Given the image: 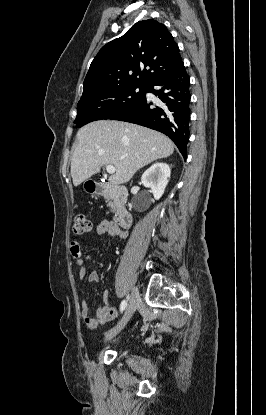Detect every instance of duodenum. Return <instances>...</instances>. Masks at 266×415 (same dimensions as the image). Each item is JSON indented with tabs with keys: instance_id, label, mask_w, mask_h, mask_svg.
Wrapping results in <instances>:
<instances>
[{
	"instance_id": "duodenum-1",
	"label": "duodenum",
	"mask_w": 266,
	"mask_h": 415,
	"mask_svg": "<svg viewBox=\"0 0 266 415\" xmlns=\"http://www.w3.org/2000/svg\"><path fill=\"white\" fill-rule=\"evenodd\" d=\"M89 191L96 195H111L116 202V211L114 216L115 223L123 229L129 228L132 223V216L126 208L128 192L126 188L105 182H91Z\"/></svg>"
}]
</instances>
